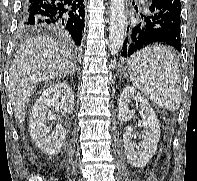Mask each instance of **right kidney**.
Wrapping results in <instances>:
<instances>
[{
    "label": "right kidney",
    "instance_id": "1",
    "mask_svg": "<svg viewBox=\"0 0 197 181\" xmlns=\"http://www.w3.org/2000/svg\"><path fill=\"white\" fill-rule=\"evenodd\" d=\"M74 107V92L67 83H57L45 89L33 106L30 115V135L36 145L48 155L56 154L66 137V130L58 124L50 134L48 119L51 118L50 109L69 114Z\"/></svg>",
    "mask_w": 197,
    "mask_h": 181
}]
</instances>
